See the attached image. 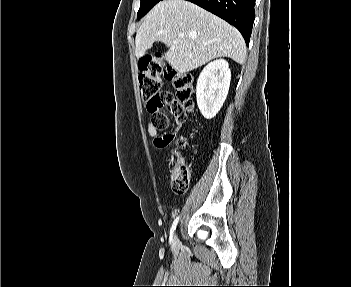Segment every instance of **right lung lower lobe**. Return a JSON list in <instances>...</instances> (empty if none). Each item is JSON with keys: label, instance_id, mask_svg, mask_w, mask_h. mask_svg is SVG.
<instances>
[{"label": "right lung lower lobe", "instance_id": "98d812e1", "mask_svg": "<svg viewBox=\"0 0 351 287\" xmlns=\"http://www.w3.org/2000/svg\"><path fill=\"white\" fill-rule=\"evenodd\" d=\"M234 25L249 44L255 17V0H187Z\"/></svg>", "mask_w": 351, "mask_h": 287}]
</instances>
